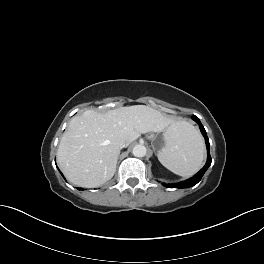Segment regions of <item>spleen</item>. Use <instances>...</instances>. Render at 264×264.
<instances>
[{"mask_svg":"<svg viewBox=\"0 0 264 264\" xmlns=\"http://www.w3.org/2000/svg\"><path fill=\"white\" fill-rule=\"evenodd\" d=\"M204 141L199 131L186 121L176 123L168 145L157 154L163 166L173 173L188 177L195 174L204 159Z\"/></svg>","mask_w":264,"mask_h":264,"instance_id":"1","label":"spleen"}]
</instances>
